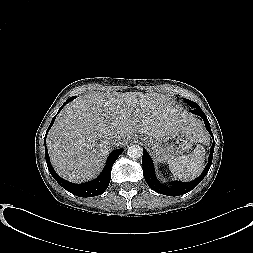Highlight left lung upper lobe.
Returning a JSON list of instances; mask_svg holds the SVG:
<instances>
[{"label": "left lung upper lobe", "mask_w": 253, "mask_h": 253, "mask_svg": "<svg viewBox=\"0 0 253 253\" xmlns=\"http://www.w3.org/2000/svg\"><path fill=\"white\" fill-rule=\"evenodd\" d=\"M184 101L190 106V104H193V103H195V102H193V101H191V100H188V99H185L184 98Z\"/></svg>", "instance_id": "1"}]
</instances>
